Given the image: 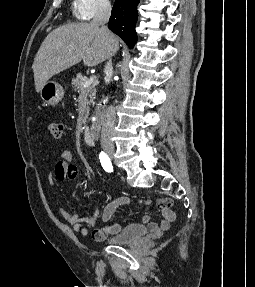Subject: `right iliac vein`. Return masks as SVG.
<instances>
[{
    "label": "right iliac vein",
    "instance_id": "63e3f726",
    "mask_svg": "<svg viewBox=\"0 0 255 287\" xmlns=\"http://www.w3.org/2000/svg\"><path fill=\"white\" fill-rule=\"evenodd\" d=\"M105 152L108 154V156L113 157V155H114V148L107 147V148H105Z\"/></svg>",
    "mask_w": 255,
    "mask_h": 287
}]
</instances>
